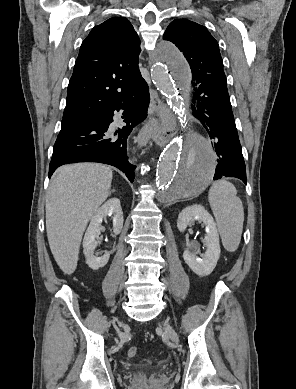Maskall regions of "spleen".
Listing matches in <instances>:
<instances>
[{
  "instance_id": "1",
  "label": "spleen",
  "mask_w": 296,
  "mask_h": 389,
  "mask_svg": "<svg viewBox=\"0 0 296 389\" xmlns=\"http://www.w3.org/2000/svg\"><path fill=\"white\" fill-rule=\"evenodd\" d=\"M208 200L226 250H237L243 231L244 209L235 186L220 180L209 189Z\"/></svg>"
}]
</instances>
